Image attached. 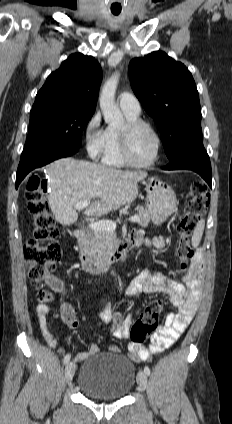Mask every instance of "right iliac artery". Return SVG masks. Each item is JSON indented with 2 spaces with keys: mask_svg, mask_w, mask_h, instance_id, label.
<instances>
[{
  "mask_svg": "<svg viewBox=\"0 0 232 424\" xmlns=\"http://www.w3.org/2000/svg\"><path fill=\"white\" fill-rule=\"evenodd\" d=\"M70 357H71V355H70V354H67V355L64 357V360H63L64 364H67V363L69 362Z\"/></svg>",
  "mask_w": 232,
  "mask_h": 424,
  "instance_id": "right-iliac-artery-1",
  "label": "right iliac artery"
}]
</instances>
